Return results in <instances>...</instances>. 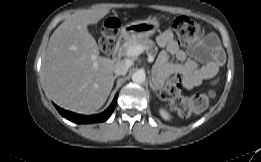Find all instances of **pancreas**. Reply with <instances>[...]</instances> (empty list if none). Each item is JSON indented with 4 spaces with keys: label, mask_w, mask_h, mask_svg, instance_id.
<instances>
[{
    "label": "pancreas",
    "mask_w": 261,
    "mask_h": 162,
    "mask_svg": "<svg viewBox=\"0 0 261 162\" xmlns=\"http://www.w3.org/2000/svg\"><path fill=\"white\" fill-rule=\"evenodd\" d=\"M135 45H143L147 47L148 51H151L153 54H156L157 48L155 47V43L152 40H149L148 38L145 39H135V40H130L128 41L124 46V50L131 46Z\"/></svg>",
    "instance_id": "pancreas-1"
}]
</instances>
